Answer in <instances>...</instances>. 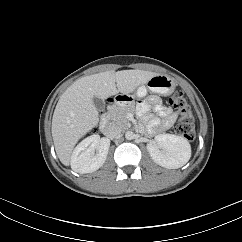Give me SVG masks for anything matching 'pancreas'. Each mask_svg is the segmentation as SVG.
Listing matches in <instances>:
<instances>
[{"instance_id": "1", "label": "pancreas", "mask_w": 242, "mask_h": 242, "mask_svg": "<svg viewBox=\"0 0 242 242\" xmlns=\"http://www.w3.org/2000/svg\"><path fill=\"white\" fill-rule=\"evenodd\" d=\"M134 104L124 105V106H113L109 111L108 115L112 123L118 124L121 128L125 129L127 127V114L134 113Z\"/></svg>"}]
</instances>
